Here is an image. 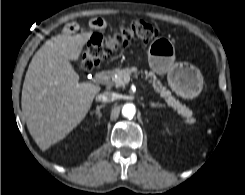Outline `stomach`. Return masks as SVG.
Wrapping results in <instances>:
<instances>
[{
	"label": "stomach",
	"mask_w": 245,
	"mask_h": 195,
	"mask_svg": "<svg viewBox=\"0 0 245 195\" xmlns=\"http://www.w3.org/2000/svg\"><path fill=\"white\" fill-rule=\"evenodd\" d=\"M150 68L167 74L171 89L179 96L193 99L203 88V77L198 68L185 62H175V49L167 39L154 40L148 50Z\"/></svg>",
	"instance_id": "obj_1"
}]
</instances>
